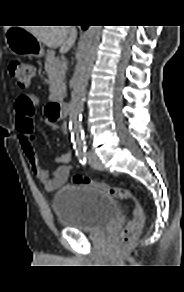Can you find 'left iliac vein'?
I'll use <instances>...</instances> for the list:
<instances>
[{"mask_svg":"<svg viewBox=\"0 0 184 292\" xmlns=\"http://www.w3.org/2000/svg\"><path fill=\"white\" fill-rule=\"evenodd\" d=\"M88 160H89V164L93 168L98 169V170L102 169V164H101V162H100V160H99V158L97 157L96 154L89 153Z\"/></svg>","mask_w":184,"mask_h":292,"instance_id":"obj_1","label":"left iliac vein"}]
</instances>
